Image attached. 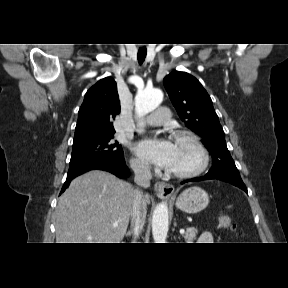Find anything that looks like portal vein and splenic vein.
Listing matches in <instances>:
<instances>
[{"label": "portal vein and splenic vein", "instance_id": "obj_1", "mask_svg": "<svg viewBox=\"0 0 288 288\" xmlns=\"http://www.w3.org/2000/svg\"><path fill=\"white\" fill-rule=\"evenodd\" d=\"M113 225H114V227H116L118 224H117V223H114ZM184 233H185L184 229H181V230H180V234L183 235Z\"/></svg>", "mask_w": 288, "mask_h": 288}]
</instances>
